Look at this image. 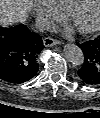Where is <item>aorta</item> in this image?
<instances>
[{
  "instance_id": "obj_1",
  "label": "aorta",
  "mask_w": 100,
  "mask_h": 118,
  "mask_svg": "<svg viewBox=\"0 0 100 118\" xmlns=\"http://www.w3.org/2000/svg\"><path fill=\"white\" fill-rule=\"evenodd\" d=\"M64 54L66 59L75 66H80L84 62V54L81 48L75 44H66L64 46Z\"/></svg>"
}]
</instances>
